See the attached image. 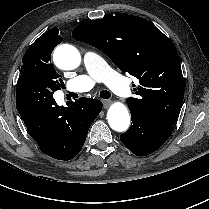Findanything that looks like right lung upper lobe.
<instances>
[{"label": "right lung upper lobe", "mask_w": 209, "mask_h": 209, "mask_svg": "<svg viewBox=\"0 0 209 209\" xmlns=\"http://www.w3.org/2000/svg\"><path fill=\"white\" fill-rule=\"evenodd\" d=\"M58 34H59L58 29L57 28H52V29L48 30L47 32H45L38 39H51L56 43V45H58L62 41V37L59 36Z\"/></svg>", "instance_id": "cb5924a9"}]
</instances>
